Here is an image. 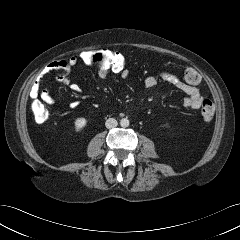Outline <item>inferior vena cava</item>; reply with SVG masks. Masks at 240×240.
Wrapping results in <instances>:
<instances>
[{
	"instance_id": "1",
	"label": "inferior vena cava",
	"mask_w": 240,
	"mask_h": 240,
	"mask_svg": "<svg viewBox=\"0 0 240 240\" xmlns=\"http://www.w3.org/2000/svg\"><path fill=\"white\" fill-rule=\"evenodd\" d=\"M117 125H118V122H117V120L114 119V118H109V119H107L106 122H105V126H106V128H108V129L117 127Z\"/></svg>"
}]
</instances>
